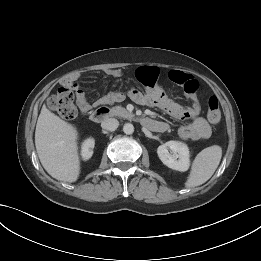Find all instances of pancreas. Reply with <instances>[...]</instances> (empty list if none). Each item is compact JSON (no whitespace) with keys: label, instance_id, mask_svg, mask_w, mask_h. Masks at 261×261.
<instances>
[{"label":"pancreas","instance_id":"obj_1","mask_svg":"<svg viewBox=\"0 0 261 261\" xmlns=\"http://www.w3.org/2000/svg\"><path fill=\"white\" fill-rule=\"evenodd\" d=\"M112 113L116 116H121L125 118H132L133 115L129 113L125 108L121 106H116L113 108Z\"/></svg>","mask_w":261,"mask_h":261}]
</instances>
